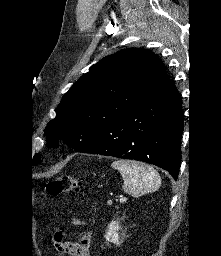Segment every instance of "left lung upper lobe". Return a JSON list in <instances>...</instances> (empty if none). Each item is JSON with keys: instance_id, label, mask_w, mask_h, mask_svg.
Instances as JSON below:
<instances>
[{"instance_id": "left-lung-upper-lobe-1", "label": "left lung upper lobe", "mask_w": 221, "mask_h": 256, "mask_svg": "<svg viewBox=\"0 0 221 256\" xmlns=\"http://www.w3.org/2000/svg\"><path fill=\"white\" fill-rule=\"evenodd\" d=\"M168 80L163 63L148 50L129 48L103 58L63 96L45 128L47 146L58 147L61 140L76 151Z\"/></svg>"}]
</instances>
